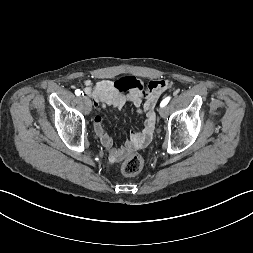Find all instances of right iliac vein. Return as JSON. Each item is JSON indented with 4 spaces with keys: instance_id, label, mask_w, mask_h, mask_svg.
<instances>
[{
    "instance_id": "63e3f726",
    "label": "right iliac vein",
    "mask_w": 253,
    "mask_h": 253,
    "mask_svg": "<svg viewBox=\"0 0 253 253\" xmlns=\"http://www.w3.org/2000/svg\"><path fill=\"white\" fill-rule=\"evenodd\" d=\"M81 99L84 100L86 111L89 113L92 110L91 100L86 96H81Z\"/></svg>"
}]
</instances>
